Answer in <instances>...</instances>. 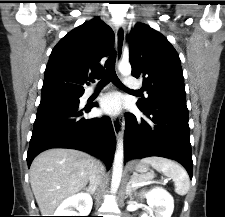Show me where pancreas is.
<instances>
[{
    "label": "pancreas",
    "mask_w": 225,
    "mask_h": 217,
    "mask_svg": "<svg viewBox=\"0 0 225 217\" xmlns=\"http://www.w3.org/2000/svg\"><path fill=\"white\" fill-rule=\"evenodd\" d=\"M151 174H144V175H139V174H134L131 177V183H142V182H146L149 179H151ZM138 186L133 187V190L137 189Z\"/></svg>",
    "instance_id": "1"
}]
</instances>
